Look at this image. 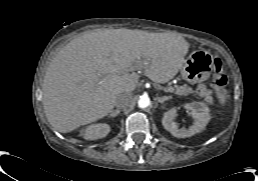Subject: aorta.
Instances as JSON below:
<instances>
[{"instance_id":"762f6f07","label":"aorta","mask_w":258,"mask_h":181,"mask_svg":"<svg viewBox=\"0 0 258 181\" xmlns=\"http://www.w3.org/2000/svg\"><path fill=\"white\" fill-rule=\"evenodd\" d=\"M150 105V99L148 96H141L138 100V106L140 108H146Z\"/></svg>"}]
</instances>
